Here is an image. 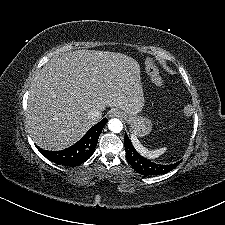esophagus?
I'll return each mask as SVG.
<instances>
[{"mask_svg":"<svg viewBox=\"0 0 225 225\" xmlns=\"http://www.w3.org/2000/svg\"><path fill=\"white\" fill-rule=\"evenodd\" d=\"M110 116H111V117H116V118H122L123 113H122L120 110L112 109V110L110 111Z\"/></svg>","mask_w":225,"mask_h":225,"instance_id":"esophagus-1","label":"esophagus"}]
</instances>
